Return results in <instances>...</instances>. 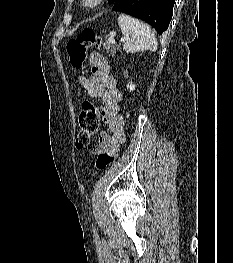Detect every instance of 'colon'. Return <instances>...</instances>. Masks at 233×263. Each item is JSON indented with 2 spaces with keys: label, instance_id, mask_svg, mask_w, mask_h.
<instances>
[{
  "label": "colon",
  "instance_id": "1",
  "mask_svg": "<svg viewBox=\"0 0 233 263\" xmlns=\"http://www.w3.org/2000/svg\"><path fill=\"white\" fill-rule=\"evenodd\" d=\"M101 44L100 37L91 29H83L75 38L68 41L66 50L69 62L74 69H84L87 51L89 48H99ZM122 118L127 121L129 115L122 113ZM79 131L77 133L75 144L78 149L86 148L91 137L97 132L100 124V113L98 109L90 102L84 101L78 117ZM118 153H102L98 156L96 167L98 170H104L112 164Z\"/></svg>",
  "mask_w": 233,
  "mask_h": 263
}]
</instances>
